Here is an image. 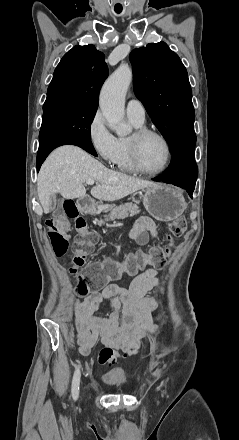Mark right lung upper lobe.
I'll return each instance as SVG.
<instances>
[{"label":"right lung upper lobe","mask_w":239,"mask_h":440,"mask_svg":"<svg viewBox=\"0 0 239 440\" xmlns=\"http://www.w3.org/2000/svg\"><path fill=\"white\" fill-rule=\"evenodd\" d=\"M107 76L104 54L94 45H77L56 67L44 104L66 102L97 110L99 91Z\"/></svg>","instance_id":"cb5924a9"}]
</instances>
